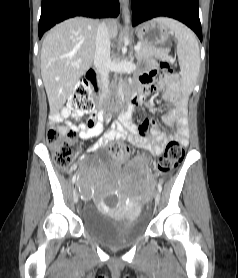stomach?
I'll use <instances>...</instances> for the list:
<instances>
[{"label": "stomach", "instance_id": "obj_1", "mask_svg": "<svg viewBox=\"0 0 238 278\" xmlns=\"http://www.w3.org/2000/svg\"><path fill=\"white\" fill-rule=\"evenodd\" d=\"M136 34L142 43L161 47L168 43L172 32L157 19H153L139 25L136 28Z\"/></svg>", "mask_w": 238, "mask_h": 278}]
</instances>
